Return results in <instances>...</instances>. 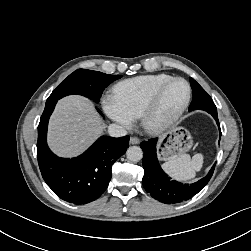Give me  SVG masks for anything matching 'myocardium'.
<instances>
[{
	"instance_id": "myocardium-1",
	"label": "myocardium",
	"mask_w": 251,
	"mask_h": 251,
	"mask_svg": "<svg viewBox=\"0 0 251 251\" xmlns=\"http://www.w3.org/2000/svg\"><path fill=\"white\" fill-rule=\"evenodd\" d=\"M178 81L183 82L187 89V96L184 103L176 112H174L168 118L164 120H157L155 118V115H156V111L158 109L162 94L164 93V91L169 85ZM191 95H192L191 86L189 82L184 78L173 77L169 79L168 81L164 82L154 91L149 101L147 102L146 106L141 112L140 120H141V125L144 128V130L151 134H159L171 128L174 124L178 122V120L181 118L183 113L188 108L189 103L191 101Z\"/></svg>"
}]
</instances>
